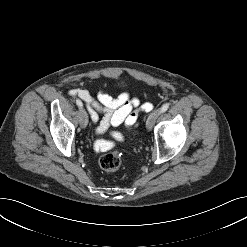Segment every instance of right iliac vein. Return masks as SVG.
<instances>
[{"label": "right iliac vein", "instance_id": "63e3f726", "mask_svg": "<svg viewBox=\"0 0 247 247\" xmlns=\"http://www.w3.org/2000/svg\"><path fill=\"white\" fill-rule=\"evenodd\" d=\"M88 124V114L84 109L80 110V125L85 128Z\"/></svg>", "mask_w": 247, "mask_h": 247}]
</instances>
